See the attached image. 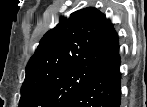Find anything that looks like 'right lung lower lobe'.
<instances>
[{"mask_svg": "<svg viewBox=\"0 0 147 107\" xmlns=\"http://www.w3.org/2000/svg\"><path fill=\"white\" fill-rule=\"evenodd\" d=\"M120 61V55L117 52L63 107H120Z\"/></svg>", "mask_w": 147, "mask_h": 107, "instance_id": "obj_1", "label": "right lung lower lobe"}]
</instances>
